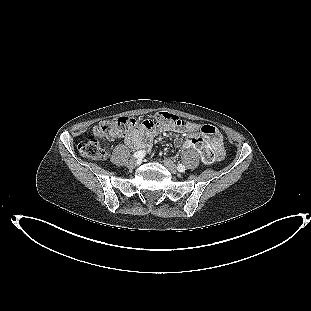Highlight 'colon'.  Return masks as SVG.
I'll use <instances>...</instances> for the list:
<instances>
[{"mask_svg": "<svg viewBox=\"0 0 311 311\" xmlns=\"http://www.w3.org/2000/svg\"><path fill=\"white\" fill-rule=\"evenodd\" d=\"M173 124L176 126L187 127L189 122L169 112L160 111L155 115L154 120L137 119L131 116H121L109 120H103L95 126L93 133L88 136L86 141L79 145V152L82 156L89 159L103 158L107 149L103 144L104 140H113L119 137L127 136L139 126ZM190 143L199 149L202 159L210 163L216 158L215 151L199 136H193L189 139ZM224 155V149L221 151V157Z\"/></svg>", "mask_w": 311, "mask_h": 311, "instance_id": "colon-1", "label": "colon"}]
</instances>
